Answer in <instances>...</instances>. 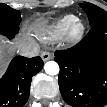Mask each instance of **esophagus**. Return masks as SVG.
<instances>
[{"instance_id": "34e87169", "label": "esophagus", "mask_w": 107, "mask_h": 107, "mask_svg": "<svg viewBox=\"0 0 107 107\" xmlns=\"http://www.w3.org/2000/svg\"><path fill=\"white\" fill-rule=\"evenodd\" d=\"M41 58L43 61H48V60L52 59V54L48 51H43L41 53Z\"/></svg>"}]
</instances>
